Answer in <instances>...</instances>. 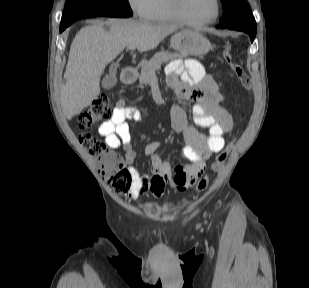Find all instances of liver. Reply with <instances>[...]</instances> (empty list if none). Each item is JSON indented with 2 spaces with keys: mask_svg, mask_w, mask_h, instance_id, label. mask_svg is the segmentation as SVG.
I'll return each instance as SVG.
<instances>
[{
  "mask_svg": "<svg viewBox=\"0 0 309 288\" xmlns=\"http://www.w3.org/2000/svg\"><path fill=\"white\" fill-rule=\"evenodd\" d=\"M176 30L174 25L132 19L95 21L80 29L70 47L64 73L66 83L60 91L63 113L71 119L91 105L100 93V78L105 67L125 47L147 52Z\"/></svg>",
  "mask_w": 309,
  "mask_h": 288,
  "instance_id": "liver-1",
  "label": "liver"
}]
</instances>
